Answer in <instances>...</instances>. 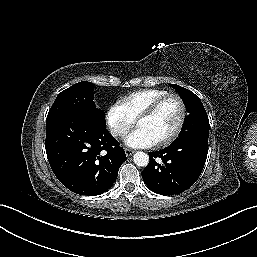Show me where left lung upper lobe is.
<instances>
[{
  "label": "left lung upper lobe",
  "instance_id": "left-lung-upper-lobe-1",
  "mask_svg": "<svg viewBox=\"0 0 257 257\" xmlns=\"http://www.w3.org/2000/svg\"><path fill=\"white\" fill-rule=\"evenodd\" d=\"M171 87L181 95L188 112L181 134L175 142L191 137L208 139L209 119L200 98L179 85L171 84Z\"/></svg>",
  "mask_w": 257,
  "mask_h": 257
}]
</instances>
